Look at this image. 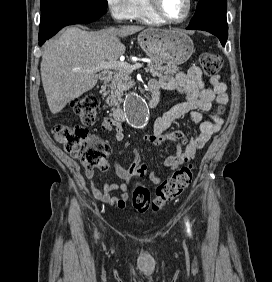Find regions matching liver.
Instances as JSON below:
<instances>
[{"label": "liver", "mask_w": 272, "mask_h": 282, "mask_svg": "<svg viewBox=\"0 0 272 282\" xmlns=\"http://www.w3.org/2000/svg\"><path fill=\"white\" fill-rule=\"evenodd\" d=\"M144 29L122 26L100 31L68 27L58 39L44 46L41 79L51 113H59L67 103L91 90L98 81L95 68L101 61H116L125 53L119 37Z\"/></svg>", "instance_id": "1"}]
</instances>
